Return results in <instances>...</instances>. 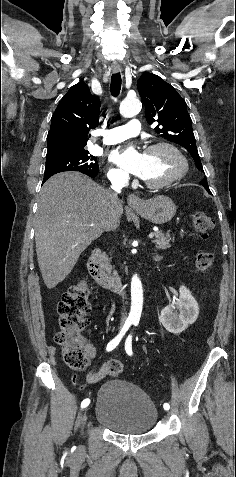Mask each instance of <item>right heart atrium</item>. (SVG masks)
I'll use <instances>...</instances> for the list:
<instances>
[{
  "label": "right heart atrium",
  "instance_id": "d8ad5b80",
  "mask_svg": "<svg viewBox=\"0 0 236 477\" xmlns=\"http://www.w3.org/2000/svg\"><path fill=\"white\" fill-rule=\"evenodd\" d=\"M108 178L114 182H123L127 179L125 172L119 168L112 167L108 171Z\"/></svg>",
  "mask_w": 236,
  "mask_h": 477
}]
</instances>
